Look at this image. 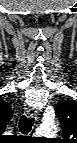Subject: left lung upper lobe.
<instances>
[{"instance_id": "left-lung-upper-lobe-1", "label": "left lung upper lobe", "mask_w": 77, "mask_h": 143, "mask_svg": "<svg viewBox=\"0 0 77 143\" xmlns=\"http://www.w3.org/2000/svg\"><path fill=\"white\" fill-rule=\"evenodd\" d=\"M55 112L61 121L64 140L75 139L77 137V102L60 101Z\"/></svg>"}]
</instances>
